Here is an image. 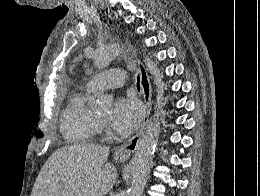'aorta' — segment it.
I'll return each mask as SVG.
<instances>
[{"mask_svg":"<svg viewBox=\"0 0 260 196\" xmlns=\"http://www.w3.org/2000/svg\"><path fill=\"white\" fill-rule=\"evenodd\" d=\"M122 48L118 44H111L96 50L94 65L99 69L106 68L121 52ZM145 65L150 71L156 85V107L154 117L148 122L146 129L139 142L137 151L130 163V183L128 196H141L146 185L148 174L153 161V154L157 145L160 122L159 116L162 114L164 99V82L162 74L157 64L148 57L144 58ZM99 106L108 108L111 99L106 95H101L98 99Z\"/></svg>","mask_w":260,"mask_h":196,"instance_id":"762f6f07","label":"aorta"}]
</instances>
